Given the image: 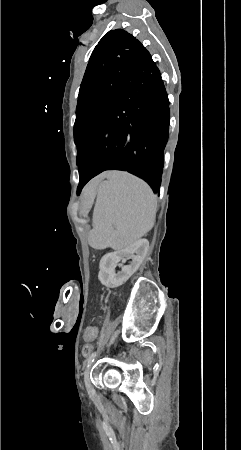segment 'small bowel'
<instances>
[{
	"mask_svg": "<svg viewBox=\"0 0 241 450\" xmlns=\"http://www.w3.org/2000/svg\"><path fill=\"white\" fill-rule=\"evenodd\" d=\"M93 321H98V319H97V318H94ZM96 331H98V330H96ZM83 337L85 338V336H83Z\"/></svg>",
	"mask_w": 241,
	"mask_h": 450,
	"instance_id": "c3829d8e",
	"label": "small bowel"
}]
</instances>
